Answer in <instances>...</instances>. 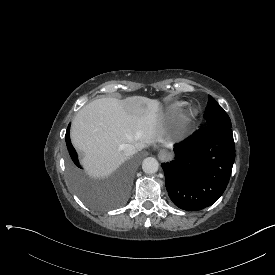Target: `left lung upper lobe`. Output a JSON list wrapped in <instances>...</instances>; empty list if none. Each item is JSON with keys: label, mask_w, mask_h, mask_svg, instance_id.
Instances as JSON below:
<instances>
[{"label": "left lung upper lobe", "mask_w": 275, "mask_h": 275, "mask_svg": "<svg viewBox=\"0 0 275 275\" xmlns=\"http://www.w3.org/2000/svg\"><path fill=\"white\" fill-rule=\"evenodd\" d=\"M204 119L206 120L207 125L219 123L231 125L230 118L226 112L210 95L208 97Z\"/></svg>", "instance_id": "1"}]
</instances>
